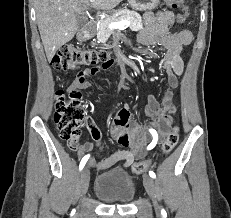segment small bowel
Instances as JSON below:
<instances>
[{"label":"small bowel","instance_id":"obj_1","mask_svg":"<svg viewBox=\"0 0 231 218\" xmlns=\"http://www.w3.org/2000/svg\"><path fill=\"white\" fill-rule=\"evenodd\" d=\"M144 21L146 28L139 34L138 41L141 45L146 47L161 46L165 49L166 52L162 57L161 65L168 75V82L172 88L162 94L160 102L154 95H149L147 98L146 115L150 119L148 129L151 130V128H156L157 134L160 135V140L157 142L159 143L165 137L171 126V114H174L176 111L173 102V89L178 86L179 78L184 70V62L181 57L182 49L191 43L192 34L188 30L174 33L170 31V27L174 23V14L170 11L157 13L147 12L144 15ZM112 64V60H104L101 64V69L105 70ZM99 66L100 65L97 64L96 66H87V69H77L78 75L74 79L72 87L80 89L88 88L90 83L87 80V76L98 74L100 70ZM129 110V106L124 105L123 108L118 111L111 129L113 138L118 143L129 147V149L119 150L100 161L90 158L89 164L91 166L99 170H108L117 163L122 162V165L115 170L116 173H121L123 168L130 166L135 159L144 155L146 145L149 144L148 138L144 135H138L139 127L137 124H129L127 122ZM87 126L96 145H100L102 134L98 127L91 121ZM70 146L80 157L93 149V144L87 141H76L70 143Z\"/></svg>","mask_w":231,"mask_h":218}]
</instances>
